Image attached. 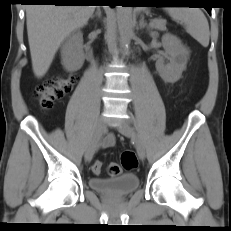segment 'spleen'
Returning <instances> with one entry per match:
<instances>
[{"mask_svg":"<svg viewBox=\"0 0 231 231\" xmlns=\"http://www.w3.org/2000/svg\"><path fill=\"white\" fill-rule=\"evenodd\" d=\"M166 11L173 19L181 21L187 32L203 47L209 45V24L200 9L189 7H168L166 8Z\"/></svg>","mask_w":231,"mask_h":231,"instance_id":"obj_1","label":"spleen"}]
</instances>
